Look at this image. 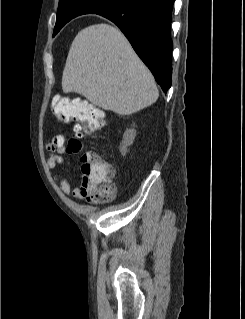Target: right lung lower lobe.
<instances>
[{"label": "right lung lower lobe", "mask_w": 245, "mask_h": 319, "mask_svg": "<svg viewBox=\"0 0 245 319\" xmlns=\"http://www.w3.org/2000/svg\"><path fill=\"white\" fill-rule=\"evenodd\" d=\"M174 1L124 0L97 13L121 29L164 92L171 87L173 43L170 25Z\"/></svg>", "instance_id": "right-lung-lower-lobe-1"}]
</instances>
